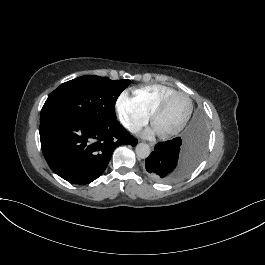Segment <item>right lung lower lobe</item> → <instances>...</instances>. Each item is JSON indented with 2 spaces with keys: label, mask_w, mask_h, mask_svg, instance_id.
Here are the masks:
<instances>
[{
  "label": "right lung lower lobe",
  "mask_w": 265,
  "mask_h": 265,
  "mask_svg": "<svg viewBox=\"0 0 265 265\" xmlns=\"http://www.w3.org/2000/svg\"><path fill=\"white\" fill-rule=\"evenodd\" d=\"M40 141L50 168L68 182L88 184L106 169L119 145L138 142L118 122L65 115L40 123Z\"/></svg>",
  "instance_id": "obj_1"
}]
</instances>
